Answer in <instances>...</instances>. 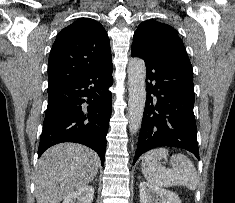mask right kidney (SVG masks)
<instances>
[{
	"mask_svg": "<svg viewBox=\"0 0 235 203\" xmlns=\"http://www.w3.org/2000/svg\"><path fill=\"white\" fill-rule=\"evenodd\" d=\"M94 197V188L92 186H83L78 191L69 194L63 203H92Z\"/></svg>",
	"mask_w": 235,
	"mask_h": 203,
	"instance_id": "obj_1",
	"label": "right kidney"
}]
</instances>
